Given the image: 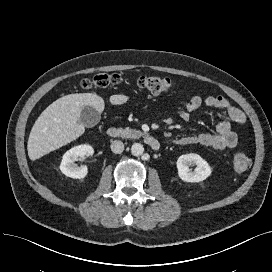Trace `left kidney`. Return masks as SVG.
<instances>
[{
    "instance_id": "5707ae66",
    "label": "left kidney",
    "mask_w": 272,
    "mask_h": 272,
    "mask_svg": "<svg viewBox=\"0 0 272 272\" xmlns=\"http://www.w3.org/2000/svg\"><path fill=\"white\" fill-rule=\"evenodd\" d=\"M196 165L194 171L189 166ZM178 176L185 182H200L211 175L207 161L195 153L181 155L177 160Z\"/></svg>"
}]
</instances>
